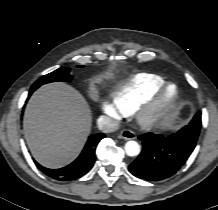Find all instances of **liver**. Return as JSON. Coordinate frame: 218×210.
Segmentation results:
<instances>
[{
	"instance_id": "1",
	"label": "liver",
	"mask_w": 218,
	"mask_h": 210,
	"mask_svg": "<svg viewBox=\"0 0 218 210\" xmlns=\"http://www.w3.org/2000/svg\"><path fill=\"white\" fill-rule=\"evenodd\" d=\"M91 123V110L84 97L65 83H51L30 98L23 127L36 161L48 168H59L79 155Z\"/></svg>"
}]
</instances>
